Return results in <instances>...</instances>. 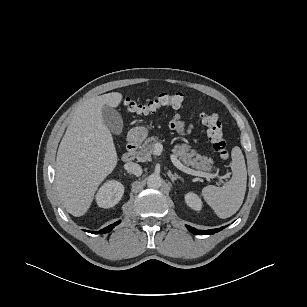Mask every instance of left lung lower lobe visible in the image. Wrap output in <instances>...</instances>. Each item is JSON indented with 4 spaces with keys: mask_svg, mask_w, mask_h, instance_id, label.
Wrapping results in <instances>:
<instances>
[{
    "mask_svg": "<svg viewBox=\"0 0 307 307\" xmlns=\"http://www.w3.org/2000/svg\"><path fill=\"white\" fill-rule=\"evenodd\" d=\"M187 229L192 232L193 234H196V235H212L214 233H217L219 231H221L222 229H224L226 226L224 227H221V228H218V229H211V230H197L195 228H192L188 225H186Z\"/></svg>",
    "mask_w": 307,
    "mask_h": 307,
    "instance_id": "left-lung-lower-lobe-1",
    "label": "left lung lower lobe"
}]
</instances>
